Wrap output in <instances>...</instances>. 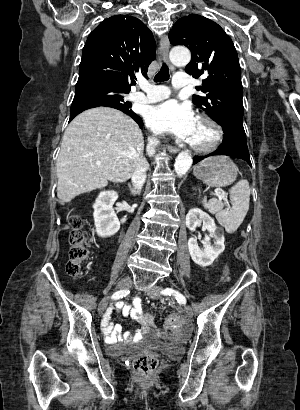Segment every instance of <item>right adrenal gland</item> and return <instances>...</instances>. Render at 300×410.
<instances>
[{
    "mask_svg": "<svg viewBox=\"0 0 300 410\" xmlns=\"http://www.w3.org/2000/svg\"><path fill=\"white\" fill-rule=\"evenodd\" d=\"M128 187H129V190H130V192L133 196H135L137 194H140V192H141V190L136 191L135 188L130 183H128Z\"/></svg>",
    "mask_w": 300,
    "mask_h": 410,
    "instance_id": "2a0ac1e0",
    "label": "right adrenal gland"
}]
</instances>
